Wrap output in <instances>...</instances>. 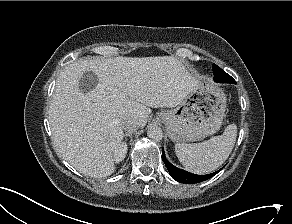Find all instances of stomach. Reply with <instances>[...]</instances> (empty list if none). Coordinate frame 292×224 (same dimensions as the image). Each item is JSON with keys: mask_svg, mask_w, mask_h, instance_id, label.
Returning <instances> with one entry per match:
<instances>
[{"mask_svg": "<svg viewBox=\"0 0 292 224\" xmlns=\"http://www.w3.org/2000/svg\"><path fill=\"white\" fill-rule=\"evenodd\" d=\"M227 105L223 90L212 80L200 78L196 88L172 110L158 113L167 134L175 142H193L216 133Z\"/></svg>", "mask_w": 292, "mask_h": 224, "instance_id": "obj_1", "label": "stomach"}]
</instances>
